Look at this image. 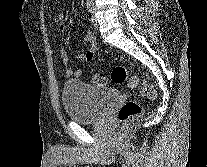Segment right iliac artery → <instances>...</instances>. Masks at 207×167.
<instances>
[{"label":"right iliac artery","instance_id":"right-iliac-artery-1","mask_svg":"<svg viewBox=\"0 0 207 167\" xmlns=\"http://www.w3.org/2000/svg\"><path fill=\"white\" fill-rule=\"evenodd\" d=\"M87 10L91 14L93 12V2L92 0H87Z\"/></svg>","mask_w":207,"mask_h":167}]
</instances>
